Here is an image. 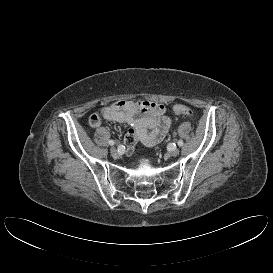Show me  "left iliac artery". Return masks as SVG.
Here are the masks:
<instances>
[{"mask_svg": "<svg viewBox=\"0 0 273 273\" xmlns=\"http://www.w3.org/2000/svg\"><path fill=\"white\" fill-rule=\"evenodd\" d=\"M177 144H178V146H180V147H181V146H183V144H184V143H183V141H182V140H179V141L177 142Z\"/></svg>", "mask_w": 273, "mask_h": 273, "instance_id": "1", "label": "left iliac artery"}]
</instances>
